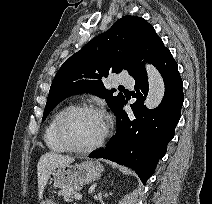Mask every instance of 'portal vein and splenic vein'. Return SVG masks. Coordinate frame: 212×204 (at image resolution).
I'll return each mask as SVG.
<instances>
[{
    "instance_id": "1",
    "label": "portal vein and splenic vein",
    "mask_w": 212,
    "mask_h": 204,
    "mask_svg": "<svg viewBox=\"0 0 212 204\" xmlns=\"http://www.w3.org/2000/svg\"><path fill=\"white\" fill-rule=\"evenodd\" d=\"M75 199L76 200H81L82 199V195H80V194H75Z\"/></svg>"
}]
</instances>
